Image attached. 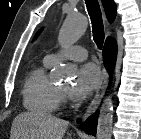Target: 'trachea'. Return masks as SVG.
Instances as JSON below:
<instances>
[{
    "instance_id": "1",
    "label": "trachea",
    "mask_w": 141,
    "mask_h": 139,
    "mask_svg": "<svg viewBox=\"0 0 141 139\" xmlns=\"http://www.w3.org/2000/svg\"><path fill=\"white\" fill-rule=\"evenodd\" d=\"M85 3L92 22L93 40L97 47L101 49L105 35L99 2L98 0H85Z\"/></svg>"
}]
</instances>
